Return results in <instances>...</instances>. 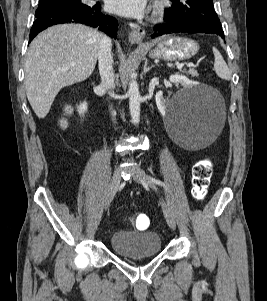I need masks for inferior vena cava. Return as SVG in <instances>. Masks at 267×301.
<instances>
[{
    "instance_id": "602c4592",
    "label": "inferior vena cava",
    "mask_w": 267,
    "mask_h": 301,
    "mask_svg": "<svg viewBox=\"0 0 267 301\" xmlns=\"http://www.w3.org/2000/svg\"><path fill=\"white\" fill-rule=\"evenodd\" d=\"M111 47V39L108 36L103 35L100 40L98 66L101 77V86L106 90H113L115 88ZM111 115L112 119L115 120V111L112 110Z\"/></svg>"
}]
</instances>
